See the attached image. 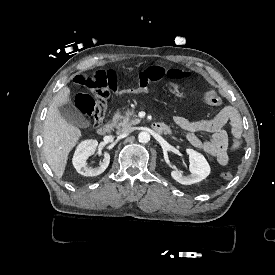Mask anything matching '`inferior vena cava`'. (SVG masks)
Wrapping results in <instances>:
<instances>
[{"instance_id": "1", "label": "inferior vena cava", "mask_w": 275, "mask_h": 275, "mask_svg": "<svg viewBox=\"0 0 275 275\" xmlns=\"http://www.w3.org/2000/svg\"><path fill=\"white\" fill-rule=\"evenodd\" d=\"M133 131V129L131 127H127V128H122L117 130V135H123V134H128L131 133Z\"/></svg>"}]
</instances>
